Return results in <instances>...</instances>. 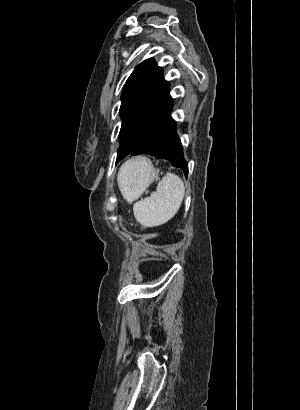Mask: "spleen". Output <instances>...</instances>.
<instances>
[{
	"label": "spleen",
	"instance_id": "obj_1",
	"mask_svg": "<svg viewBox=\"0 0 300 410\" xmlns=\"http://www.w3.org/2000/svg\"><path fill=\"white\" fill-rule=\"evenodd\" d=\"M141 168L139 160H130L122 165L118 172V186L128 201H131L129 190L133 174ZM184 195L185 186L181 178L173 173H167L159 181L156 192L134 204V216L144 227L162 225L178 212Z\"/></svg>",
	"mask_w": 300,
	"mask_h": 410
}]
</instances>
